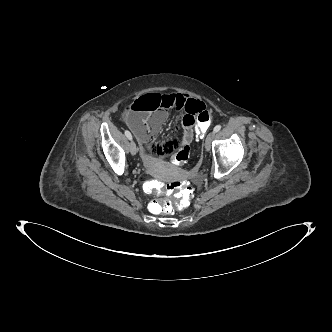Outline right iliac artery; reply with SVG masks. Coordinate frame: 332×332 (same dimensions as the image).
<instances>
[{
    "label": "right iliac artery",
    "mask_w": 332,
    "mask_h": 332,
    "mask_svg": "<svg viewBox=\"0 0 332 332\" xmlns=\"http://www.w3.org/2000/svg\"><path fill=\"white\" fill-rule=\"evenodd\" d=\"M125 136H126L129 140H132V135H131V133H130L128 130L125 131Z\"/></svg>",
    "instance_id": "obj_1"
}]
</instances>
